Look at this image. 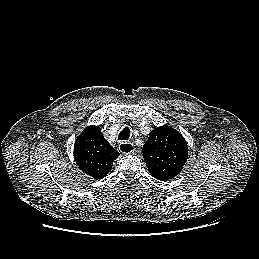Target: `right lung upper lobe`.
<instances>
[{
    "mask_svg": "<svg viewBox=\"0 0 259 259\" xmlns=\"http://www.w3.org/2000/svg\"><path fill=\"white\" fill-rule=\"evenodd\" d=\"M74 156L83 172L100 179L110 172L119 153L106 141L99 126H89L77 138Z\"/></svg>",
    "mask_w": 259,
    "mask_h": 259,
    "instance_id": "right-lung-upper-lobe-1",
    "label": "right lung upper lobe"
}]
</instances>
